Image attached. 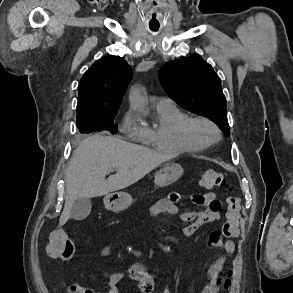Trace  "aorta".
I'll list each match as a JSON object with an SVG mask.
<instances>
[{
    "label": "aorta",
    "instance_id": "obj_1",
    "mask_svg": "<svg viewBox=\"0 0 293 293\" xmlns=\"http://www.w3.org/2000/svg\"><path fill=\"white\" fill-rule=\"evenodd\" d=\"M131 103L132 106L141 112L146 110V99L143 94V91L140 88H134L131 92Z\"/></svg>",
    "mask_w": 293,
    "mask_h": 293
}]
</instances>
